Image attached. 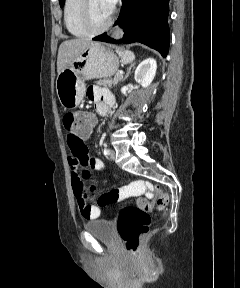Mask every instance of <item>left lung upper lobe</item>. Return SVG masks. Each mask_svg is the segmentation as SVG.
<instances>
[{
    "label": "left lung upper lobe",
    "instance_id": "obj_1",
    "mask_svg": "<svg viewBox=\"0 0 240 288\" xmlns=\"http://www.w3.org/2000/svg\"><path fill=\"white\" fill-rule=\"evenodd\" d=\"M65 0H59L60 6L62 7L64 4Z\"/></svg>",
    "mask_w": 240,
    "mask_h": 288
}]
</instances>
